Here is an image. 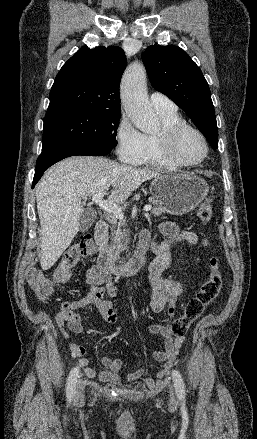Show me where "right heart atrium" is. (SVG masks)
Here are the masks:
<instances>
[{"mask_svg":"<svg viewBox=\"0 0 257 439\" xmlns=\"http://www.w3.org/2000/svg\"><path fill=\"white\" fill-rule=\"evenodd\" d=\"M118 157L125 163L136 162L144 151V135L126 115H122L116 129Z\"/></svg>","mask_w":257,"mask_h":439,"instance_id":"right-heart-atrium-1","label":"right heart atrium"}]
</instances>
